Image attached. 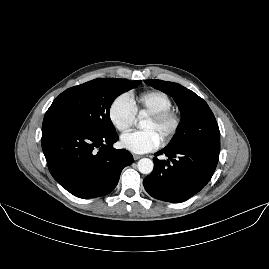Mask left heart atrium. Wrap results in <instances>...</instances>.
Returning <instances> with one entry per match:
<instances>
[{
  "mask_svg": "<svg viewBox=\"0 0 269 269\" xmlns=\"http://www.w3.org/2000/svg\"><path fill=\"white\" fill-rule=\"evenodd\" d=\"M161 144V139L154 131L131 132L121 136V146L133 153H147L159 148Z\"/></svg>",
  "mask_w": 269,
  "mask_h": 269,
  "instance_id": "39dd6f15",
  "label": "left heart atrium"
}]
</instances>
